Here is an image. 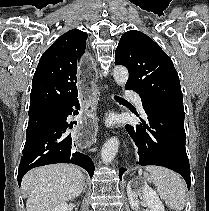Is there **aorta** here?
I'll return each instance as SVG.
<instances>
[{
    "label": "aorta",
    "instance_id": "762f6f07",
    "mask_svg": "<svg viewBox=\"0 0 209 211\" xmlns=\"http://www.w3.org/2000/svg\"><path fill=\"white\" fill-rule=\"evenodd\" d=\"M113 77L119 85L124 86L129 77L127 68L121 65L116 66L113 70ZM118 148H119V140L117 137H112L108 139L105 142L104 146L102 147L101 151L102 161L105 164L111 163V161L114 159L118 151Z\"/></svg>",
    "mask_w": 209,
    "mask_h": 211
}]
</instances>
